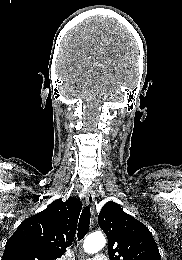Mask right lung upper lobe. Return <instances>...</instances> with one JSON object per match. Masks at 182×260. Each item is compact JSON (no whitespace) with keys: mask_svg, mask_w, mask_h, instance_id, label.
<instances>
[{"mask_svg":"<svg viewBox=\"0 0 182 260\" xmlns=\"http://www.w3.org/2000/svg\"><path fill=\"white\" fill-rule=\"evenodd\" d=\"M82 202L57 199L25 219L7 240L2 260H56L69 246L77 228Z\"/></svg>","mask_w":182,"mask_h":260,"instance_id":"1","label":"right lung upper lobe"}]
</instances>
